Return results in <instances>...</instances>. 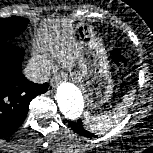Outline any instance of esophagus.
Wrapping results in <instances>:
<instances>
[{
  "instance_id": "1",
  "label": "esophagus",
  "mask_w": 153,
  "mask_h": 153,
  "mask_svg": "<svg viewBox=\"0 0 153 153\" xmlns=\"http://www.w3.org/2000/svg\"><path fill=\"white\" fill-rule=\"evenodd\" d=\"M62 76H63V74H62ZM55 82H56V79L52 80V83H51V85L49 87V92L50 93H53V91L55 89Z\"/></svg>"
}]
</instances>
